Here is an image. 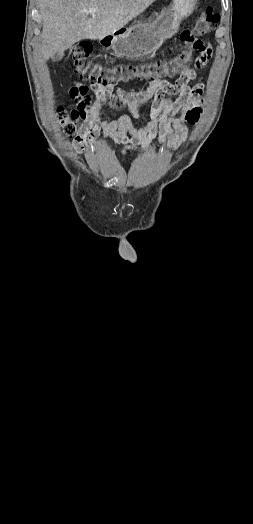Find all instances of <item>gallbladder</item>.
Segmentation results:
<instances>
[{
    "instance_id": "1",
    "label": "gallbladder",
    "mask_w": 253,
    "mask_h": 524,
    "mask_svg": "<svg viewBox=\"0 0 253 524\" xmlns=\"http://www.w3.org/2000/svg\"><path fill=\"white\" fill-rule=\"evenodd\" d=\"M64 56V53L63 51H58L56 52L53 56H52V61L54 62H58L60 61Z\"/></svg>"
}]
</instances>
